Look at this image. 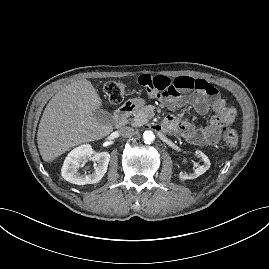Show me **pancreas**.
Returning a JSON list of instances; mask_svg holds the SVG:
<instances>
[{"mask_svg": "<svg viewBox=\"0 0 269 269\" xmlns=\"http://www.w3.org/2000/svg\"><path fill=\"white\" fill-rule=\"evenodd\" d=\"M152 117H154V110L149 106H144L137 111L133 118L129 119V123L134 127H140L146 124Z\"/></svg>", "mask_w": 269, "mask_h": 269, "instance_id": "1", "label": "pancreas"}]
</instances>
